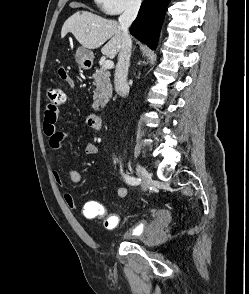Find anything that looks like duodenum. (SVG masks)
<instances>
[{"label": "duodenum", "mask_w": 249, "mask_h": 294, "mask_svg": "<svg viewBox=\"0 0 249 294\" xmlns=\"http://www.w3.org/2000/svg\"><path fill=\"white\" fill-rule=\"evenodd\" d=\"M90 121L92 122V125L94 129L100 130L102 127V118L100 115L96 113H92L89 115Z\"/></svg>", "instance_id": "410a0bca"}]
</instances>
